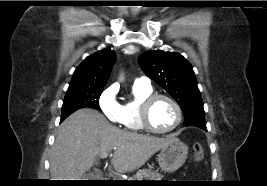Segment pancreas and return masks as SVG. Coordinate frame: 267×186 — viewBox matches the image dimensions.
<instances>
[{
  "instance_id": "cf45deb5",
  "label": "pancreas",
  "mask_w": 267,
  "mask_h": 186,
  "mask_svg": "<svg viewBox=\"0 0 267 186\" xmlns=\"http://www.w3.org/2000/svg\"><path fill=\"white\" fill-rule=\"evenodd\" d=\"M163 176L158 173V172H154V171H151V170H142L139 174L137 175H134L131 179V181H134V180H137V181H142L143 179L145 181H161V178Z\"/></svg>"
}]
</instances>
